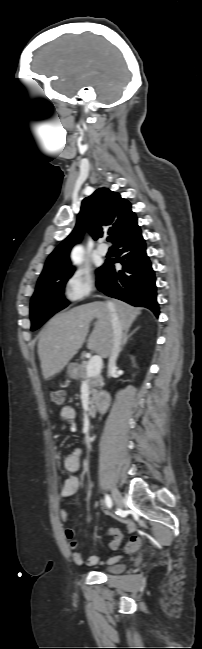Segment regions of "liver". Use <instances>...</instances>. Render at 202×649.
I'll return each instance as SVG.
<instances>
[{
  "label": "liver",
  "mask_w": 202,
  "mask_h": 649,
  "mask_svg": "<svg viewBox=\"0 0 202 649\" xmlns=\"http://www.w3.org/2000/svg\"><path fill=\"white\" fill-rule=\"evenodd\" d=\"M117 314L123 329L129 328L141 313L139 308L123 301L93 302L56 314L39 334L38 355L45 380L59 373L77 354L89 332L90 322H97L87 348L102 358L110 355L113 340L111 310Z\"/></svg>",
  "instance_id": "1"
}]
</instances>
